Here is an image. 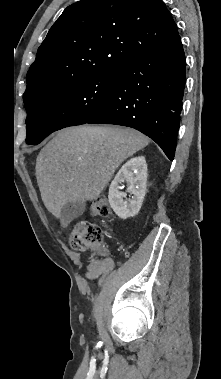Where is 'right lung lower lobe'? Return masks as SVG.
<instances>
[{"mask_svg":"<svg viewBox=\"0 0 221 379\" xmlns=\"http://www.w3.org/2000/svg\"><path fill=\"white\" fill-rule=\"evenodd\" d=\"M186 79L181 38L118 68L109 102L85 123L132 127L153 139L172 161Z\"/></svg>","mask_w":221,"mask_h":379,"instance_id":"98d812e1","label":"right lung lower lobe"}]
</instances>
